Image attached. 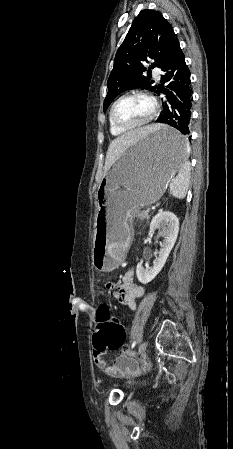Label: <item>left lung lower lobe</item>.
<instances>
[{
    "mask_svg": "<svg viewBox=\"0 0 233 449\" xmlns=\"http://www.w3.org/2000/svg\"><path fill=\"white\" fill-rule=\"evenodd\" d=\"M161 70L164 72L161 82L162 84L167 83L166 89L161 91L166 92V100L163 102V110L157 122L174 127L178 133L177 135L164 134L161 141L168 149L180 151L183 149L184 143L191 141L189 134L193 101L190 71L181 48ZM155 92L159 94L158 90Z\"/></svg>",
    "mask_w": 233,
    "mask_h": 449,
    "instance_id": "1",
    "label": "left lung lower lobe"
}]
</instances>
